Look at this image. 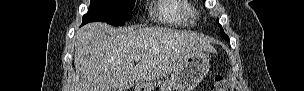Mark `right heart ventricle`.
<instances>
[{
    "instance_id": "right-heart-ventricle-1",
    "label": "right heart ventricle",
    "mask_w": 304,
    "mask_h": 91,
    "mask_svg": "<svg viewBox=\"0 0 304 91\" xmlns=\"http://www.w3.org/2000/svg\"><path fill=\"white\" fill-rule=\"evenodd\" d=\"M159 19L174 26L194 25L196 11L194 7L185 0H164L156 9Z\"/></svg>"
}]
</instances>
